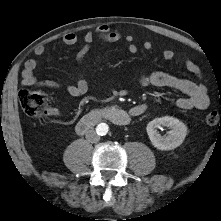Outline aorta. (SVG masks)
<instances>
[{
    "label": "aorta",
    "instance_id": "obj_1",
    "mask_svg": "<svg viewBox=\"0 0 221 221\" xmlns=\"http://www.w3.org/2000/svg\"><path fill=\"white\" fill-rule=\"evenodd\" d=\"M96 131L98 135H101V136L106 135L109 131V126L106 123H100L96 127Z\"/></svg>",
    "mask_w": 221,
    "mask_h": 221
}]
</instances>
